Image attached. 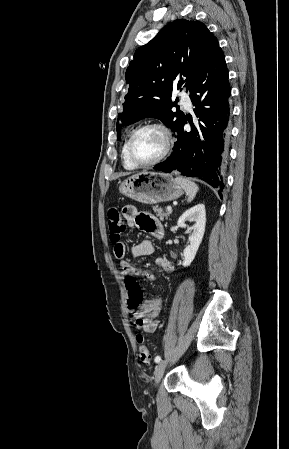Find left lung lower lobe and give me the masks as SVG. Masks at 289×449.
<instances>
[{"label":"left lung lower lobe","mask_w":289,"mask_h":449,"mask_svg":"<svg viewBox=\"0 0 289 449\" xmlns=\"http://www.w3.org/2000/svg\"><path fill=\"white\" fill-rule=\"evenodd\" d=\"M230 93L225 57L218 47L190 88L198 121L193 123L189 119L191 131L188 132L184 129L188 118L184 116L174 130L177 141L173 152L156 165L155 170L167 173L177 170L184 176L197 177L218 188L219 194L222 192L221 165L228 143Z\"/></svg>","instance_id":"obj_1"}]
</instances>
